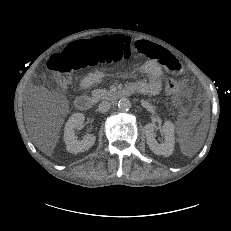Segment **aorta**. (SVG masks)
Instances as JSON below:
<instances>
[{"label":"aorta","instance_id":"1","mask_svg":"<svg viewBox=\"0 0 231 231\" xmlns=\"http://www.w3.org/2000/svg\"><path fill=\"white\" fill-rule=\"evenodd\" d=\"M118 108L121 111H128L131 108V102L127 98H121L118 101Z\"/></svg>","mask_w":231,"mask_h":231}]
</instances>
